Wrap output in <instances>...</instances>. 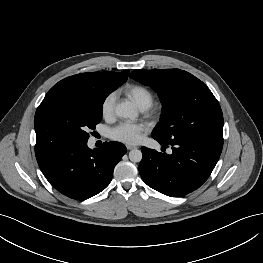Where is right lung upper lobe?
<instances>
[{"label":"right lung upper lobe","instance_id":"obj_1","mask_svg":"<svg viewBox=\"0 0 263 263\" xmlns=\"http://www.w3.org/2000/svg\"><path fill=\"white\" fill-rule=\"evenodd\" d=\"M129 71L117 72H89L67 77L55 84L46 94L43 101L73 97L85 92L87 89L101 83L119 84L124 83Z\"/></svg>","mask_w":263,"mask_h":263}]
</instances>
